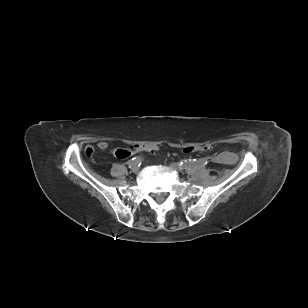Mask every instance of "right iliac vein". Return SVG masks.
<instances>
[{
  "mask_svg": "<svg viewBox=\"0 0 308 308\" xmlns=\"http://www.w3.org/2000/svg\"><path fill=\"white\" fill-rule=\"evenodd\" d=\"M132 171L134 172V173H138L139 172V167H133V169H132Z\"/></svg>",
  "mask_w": 308,
  "mask_h": 308,
  "instance_id": "63e3f726",
  "label": "right iliac vein"
}]
</instances>
